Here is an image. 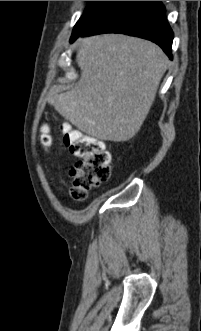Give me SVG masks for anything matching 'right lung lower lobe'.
<instances>
[{
    "label": "right lung lower lobe",
    "mask_w": 201,
    "mask_h": 331,
    "mask_svg": "<svg viewBox=\"0 0 201 331\" xmlns=\"http://www.w3.org/2000/svg\"><path fill=\"white\" fill-rule=\"evenodd\" d=\"M101 33H122L153 41L172 59L173 31L165 17V7L161 1H115L70 42L80 36Z\"/></svg>",
    "instance_id": "98d812e1"
}]
</instances>
